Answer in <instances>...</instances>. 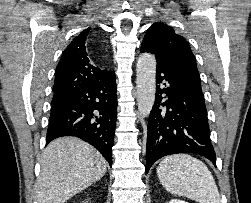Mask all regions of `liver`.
I'll return each mask as SVG.
<instances>
[{
	"mask_svg": "<svg viewBox=\"0 0 251 203\" xmlns=\"http://www.w3.org/2000/svg\"><path fill=\"white\" fill-rule=\"evenodd\" d=\"M107 170L103 156L75 137H61L45 149L41 162L39 203H65L100 180Z\"/></svg>",
	"mask_w": 251,
	"mask_h": 203,
	"instance_id": "6515ba94",
	"label": "liver"
}]
</instances>
